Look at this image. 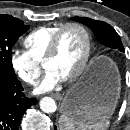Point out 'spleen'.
I'll return each mask as SVG.
<instances>
[{"instance_id": "3e777b00", "label": "spleen", "mask_w": 130, "mask_h": 130, "mask_svg": "<svg viewBox=\"0 0 130 130\" xmlns=\"http://www.w3.org/2000/svg\"><path fill=\"white\" fill-rule=\"evenodd\" d=\"M109 125V119L87 124L81 121H75L64 114L59 118L60 130H106Z\"/></svg>"}]
</instances>
